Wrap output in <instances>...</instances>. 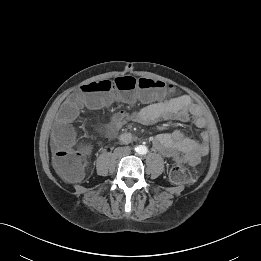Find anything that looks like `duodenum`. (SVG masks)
<instances>
[{
    "label": "duodenum",
    "instance_id": "410a0bca",
    "mask_svg": "<svg viewBox=\"0 0 261 261\" xmlns=\"http://www.w3.org/2000/svg\"><path fill=\"white\" fill-rule=\"evenodd\" d=\"M132 139H133L132 136L128 133H124L120 136V140L122 142H130Z\"/></svg>",
    "mask_w": 261,
    "mask_h": 261
}]
</instances>
